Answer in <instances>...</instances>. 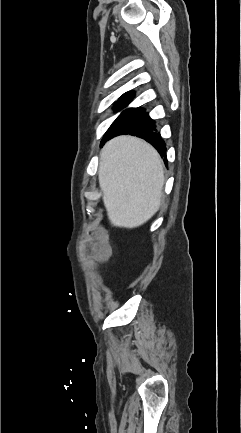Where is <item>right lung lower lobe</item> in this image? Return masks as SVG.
<instances>
[{
  "instance_id": "98d812e1",
  "label": "right lung lower lobe",
  "mask_w": 241,
  "mask_h": 433,
  "mask_svg": "<svg viewBox=\"0 0 241 433\" xmlns=\"http://www.w3.org/2000/svg\"><path fill=\"white\" fill-rule=\"evenodd\" d=\"M154 120H152L147 113H143L134 123H132L127 129H125L122 132L116 133L114 135L108 136L102 144L115 136L122 135V134H130L133 136H137L140 138L145 139L146 141L150 142L157 151L160 153L161 156H165L166 153V147L165 144L160 136V133L156 132V126L154 124ZM166 162V157H165Z\"/></svg>"
}]
</instances>
